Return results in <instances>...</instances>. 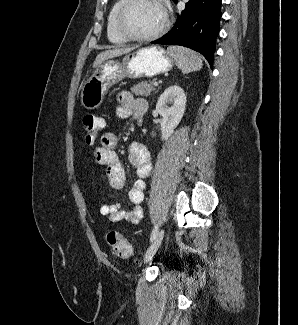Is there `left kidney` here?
I'll list each match as a JSON object with an SVG mask.
<instances>
[{"mask_svg":"<svg viewBox=\"0 0 298 325\" xmlns=\"http://www.w3.org/2000/svg\"><path fill=\"white\" fill-rule=\"evenodd\" d=\"M187 96L178 84L168 86L156 102V110L162 116L161 138L167 140L182 120L186 108ZM171 104V106H169Z\"/></svg>","mask_w":298,"mask_h":325,"instance_id":"left-kidney-1","label":"left kidney"}]
</instances>
